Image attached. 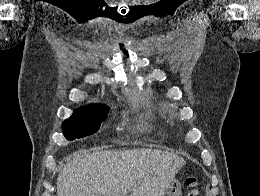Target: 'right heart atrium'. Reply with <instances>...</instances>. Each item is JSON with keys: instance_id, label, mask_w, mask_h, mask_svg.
<instances>
[{"instance_id": "d8ad5b80", "label": "right heart atrium", "mask_w": 260, "mask_h": 196, "mask_svg": "<svg viewBox=\"0 0 260 196\" xmlns=\"http://www.w3.org/2000/svg\"><path fill=\"white\" fill-rule=\"evenodd\" d=\"M132 192H152V190H131Z\"/></svg>"}]
</instances>
